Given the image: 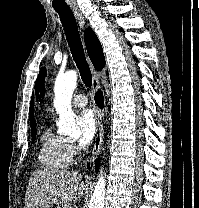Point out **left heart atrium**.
<instances>
[{"instance_id":"39dd6f15","label":"left heart atrium","mask_w":199,"mask_h":208,"mask_svg":"<svg viewBox=\"0 0 199 208\" xmlns=\"http://www.w3.org/2000/svg\"><path fill=\"white\" fill-rule=\"evenodd\" d=\"M77 126L81 132V145L87 146L91 143L96 133V120L93 112L85 109L76 118Z\"/></svg>"}]
</instances>
